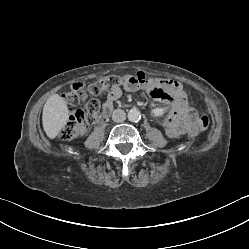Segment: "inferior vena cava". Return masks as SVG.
Here are the masks:
<instances>
[{"label":"inferior vena cava","mask_w":249,"mask_h":249,"mask_svg":"<svg viewBox=\"0 0 249 249\" xmlns=\"http://www.w3.org/2000/svg\"><path fill=\"white\" fill-rule=\"evenodd\" d=\"M126 119V113L124 110L116 109L112 114V120L114 122L120 123Z\"/></svg>","instance_id":"inferior-vena-cava-1"}]
</instances>
